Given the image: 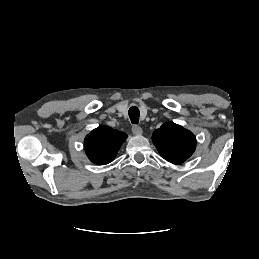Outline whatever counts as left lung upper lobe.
<instances>
[{"label": "left lung upper lobe", "mask_w": 259, "mask_h": 259, "mask_svg": "<svg viewBox=\"0 0 259 259\" xmlns=\"http://www.w3.org/2000/svg\"><path fill=\"white\" fill-rule=\"evenodd\" d=\"M160 155L173 164H181L194 152L196 138L189 130L175 123H164L152 135Z\"/></svg>", "instance_id": "obj_1"}]
</instances>
